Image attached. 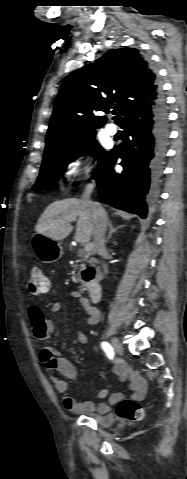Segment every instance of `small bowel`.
Wrapping results in <instances>:
<instances>
[{
    "label": "small bowel",
    "instance_id": "small-bowel-1",
    "mask_svg": "<svg viewBox=\"0 0 187 479\" xmlns=\"http://www.w3.org/2000/svg\"><path fill=\"white\" fill-rule=\"evenodd\" d=\"M70 296L74 298L86 311L89 319L87 326H92L98 323L101 319V312L98 307L91 302V300L79 291H71ZM63 310L61 303H54L50 307V314L57 315ZM29 322L35 337L40 338L47 334L50 330V325L45 320L44 314L40 307L32 306L28 312ZM79 340L86 342L88 336L86 333L79 334ZM39 360L51 376V380L55 390L62 396L64 407L72 412L84 413H98L105 414L109 411L110 406L122 398V394L116 393L110 396L109 402L94 403L92 401H78L69 394V382L77 380V371L74 365L67 359L60 357L57 350L51 347L42 348L39 352ZM115 373L121 380H128L132 398L142 400L147 391L146 381L144 377L132 370L124 363H118L114 367ZM61 374L65 379H61L53 375V373ZM99 398L103 399L107 396V391L103 390L99 393Z\"/></svg>",
    "mask_w": 187,
    "mask_h": 479
}]
</instances>
